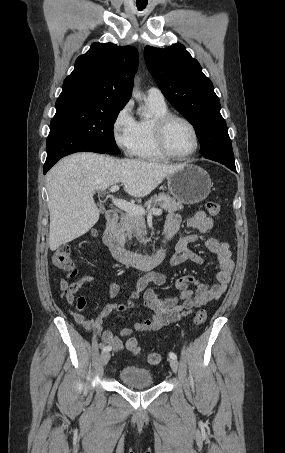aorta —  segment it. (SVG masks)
<instances>
[{
	"mask_svg": "<svg viewBox=\"0 0 285 453\" xmlns=\"http://www.w3.org/2000/svg\"><path fill=\"white\" fill-rule=\"evenodd\" d=\"M135 84H137V81H135ZM133 96H134V98L137 99V100H141V99H142L141 93H140L139 91H137V90L134 91ZM143 109H144L143 107H140L139 111H141V110H143Z\"/></svg>",
	"mask_w": 285,
	"mask_h": 453,
	"instance_id": "aorta-1",
	"label": "aorta"
}]
</instances>
